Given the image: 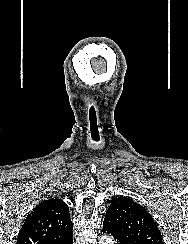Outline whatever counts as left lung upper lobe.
<instances>
[{
	"instance_id": "1",
	"label": "left lung upper lobe",
	"mask_w": 188,
	"mask_h": 244,
	"mask_svg": "<svg viewBox=\"0 0 188 244\" xmlns=\"http://www.w3.org/2000/svg\"><path fill=\"white\" fill-rule=\"evenodd\" d=\"M109 215L125 244H163L161 232L147 210L127 197L112 200Z\"/></svg>"
}]
</instances>
